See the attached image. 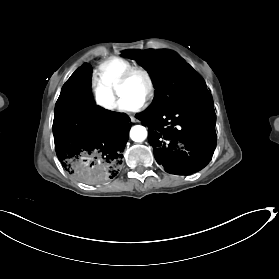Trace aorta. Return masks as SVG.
I'll return each instance as SVG.
<instances>
[{
	"label": "aorta",
	"mask_w": 279,
	"mask_h": 279,
	"mask_svg": "<svg viewBox=\"0 0 279 279\" xmlns=\"http://www.w3.org/2000/svg\"><path fill=\"white\" fill-rule=\"evenodd\" d=\"M130 138L135 142H142L147 138V130L144 126L135 125L130 130Z\"/></svg>",
	"instance_id": "1"
}]
</instances>
